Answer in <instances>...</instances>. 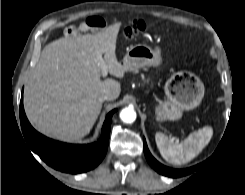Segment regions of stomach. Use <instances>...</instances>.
<instances>
[{
	"label": "stomach",
	"mask_w": 245,
	"mask_h": 195,
	"mask_svg": "<svg viewBox=\"0 0 245 195\" xmlns=\"http://www.w3.org/2000/svg\"><path fill=\"white\" fill-rule=\"evenodd\" d=\"M161 57L158 51L145 45L129 48L122 64L127 71H134L146 66H158ZM166 99L155 107L157 121L178 120L183 112L196 108L204 97V84L193 73L180 71L171 75L165 83Z\"/></svg>",
	"instance_id": "0dacf381"
}]
</instances>
